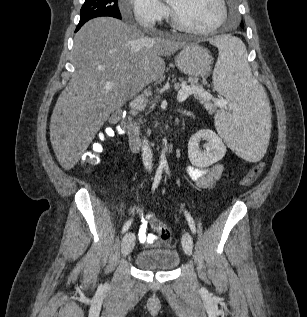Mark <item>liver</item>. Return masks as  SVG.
<instances>
[{"label":"liver","mask_w":307,"mask_h":317,"mask_svg":"<svg viewBox=\"0 0 307 317\" xmlns=\"http://www.w3.org/2000/svg\"><path fill=\"white\" fill-rule=\"evenodd\" d=\"M180 39L148 37L111 17L88 21L75 35V71L50 120V140L60 165L73 168L109 116L165 71L162 56L185 47ZM107 81L116 85L106 90Z\"/></svg>","instance_id":"1"}]
</instances>
